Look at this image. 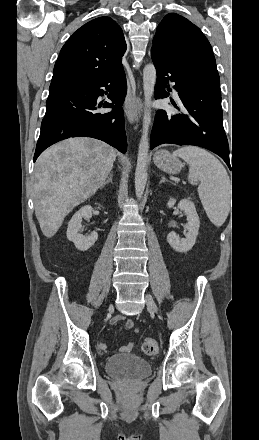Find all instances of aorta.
Wrapping results in <instances>:
<instances>
[{
  "instance_id": "aorta-1",
  "label": "aorta",
  "mask_w": 259,
  "mask_h": 440,
  "mask_svg": "<svg viewBox=\"0 0 259 440\" xmlns=\"http://www.w3.org/2000/svg\"><path fill=\"white\" fill-rule=\"evenodd\" d=\"M156 82V69L153 64H148L143 70V90L147 104L151 102L154 94ZM151 123V114L149 110L144 112L143 134L138 149L137 166L135 171V194L141 199L147 182V160L149 151L148 132Z\"/></svg>"
}]
</instances>
